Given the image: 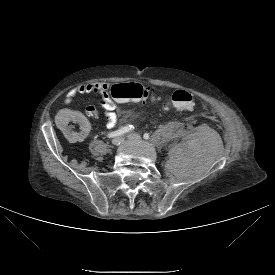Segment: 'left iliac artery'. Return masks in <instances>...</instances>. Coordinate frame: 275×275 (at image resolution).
I'll use <instances>...</instances> for the list:
<instances>
[{
  "label": "left iliac artery",
  "instance_id": "left-iliac-artery-1",
  "mask_svg": "<svg viewBox=\"0 0 275 275\" xmlns=\"http://www.w3.org/2000/svg\"><path fill=\"white\" fill-rule=\"evenodd\" d=\"M143 137H144V139H148V138H149V134L145 133V134L143 135Z\"/></svg>",
  "mask_w": 275,
  "mask_h": 275
}]
</instances>
